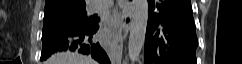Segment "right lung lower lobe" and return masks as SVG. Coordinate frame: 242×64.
Instances as JSON below:
<instances>
[{"label": "right lung lower lobe", "instance_id": "obj_1", "mask_svg": "<svg viewBox=\"0 0 242 64\" xmlns=\"http://www.w3.org/2000/svg\"><path fill=\"white\" fill-rule=\"evenodd\" d=\"M98 24L88 30L74 32L61 36L50 41L41 52L40 60H46L55 52L61 51H77L85 55H91L100 64H111L106 52L99 43L95 42L93 37L98 30Z\"/></svg>", "mask_w": 242, "mask_h": 64}]
</instances>
